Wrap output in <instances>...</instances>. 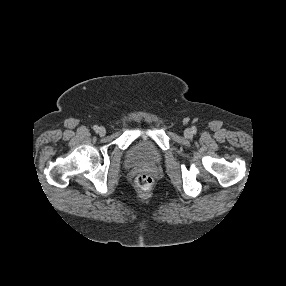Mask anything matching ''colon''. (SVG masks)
<instances>
[{"label": "colon", "instance_id": "1", "mask_svg": "<svg viewBox=\"0 0 286 286\" xmlns=\"http://www.w3.org/2000/svg\"><path fill=\"white\" fill-rule=\"evenodd\" d=\"M153 179L149 174L142 173L136 177V184L141 189H148L151 187Z\"/></svg>", "mask_w": 286, "mask_h": 286}]
</instances>
